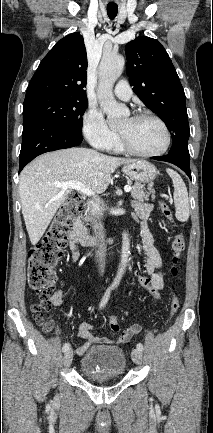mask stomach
I'll list each match as a JSON object with an SVG mask.
<instances>
[{"mask_svg":"<svg viewBox=\"0 0 213 433\" xmlns=\"http://www.w3.org/2000/svg\"><path fill=\"white\" fill-rule=\"evenodd\" d=\"M123 172L130 178L141 182H152L157 175L156 167L145 160H136L123 167Z\"/></svg>","mask_w":213,"mask_h":433,"instance_id":"obj_1","label":"stomach"}]
</instances>
